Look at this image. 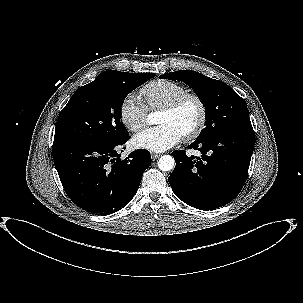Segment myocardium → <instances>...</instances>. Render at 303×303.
<instances>
[{
    "label": "myocardium",
    "instance_id": "1",
    "mask_svg": "<svg viewBox=\"0 0 303 303\" xmlns=\"http://www.w3.org/2000/svg\"><path fill=\"white\" fill-rule=\"evenodd\" d=\"M188 100H193L199 110V116H198V121L196 125L194 126L193 129L190 131L186 132L183 134V138L187 141H191L196 139L203 131L205 125H206V120H207V108L204 103V101L201 99L200 96L194 93H185L179 97H177L175 100L170 102L169 104L165 105L164 107L161 108V112H175L177 111L186 101Z\"/></svg>",
    "mask_w": 303,
    "mask_h": 303
}]
</instances>
